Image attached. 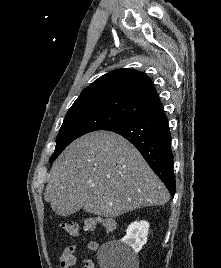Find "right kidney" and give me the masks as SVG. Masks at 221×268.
<instances>
[{
    "mask_svg": "<svg viewBox=\"0 0 221 268\" xmlns=\"http://www.w3.org/2000/svg\"><path fill=\"white\" fill-rule=\"evenodd\" d=\"M148 231L149 223L147 221L132 222L128 226L122 242L127 248H130L134 252H139L147 242Z\"/></svg>",
    "mask_w": 221,
    "mask_h": 268,
    "instance_id": "right-kidney-1",
    "label": "right kidney"
}]
</instances>
